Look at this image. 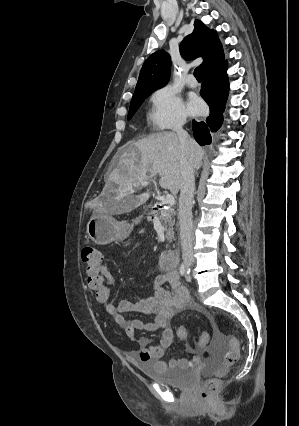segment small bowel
Listing matches in <instances>:
<instances>
[{
	"label": "small bowel",
	"instance_id": "c3829d8e",
	"mask_svg": "<svg viewBox=\"0 0 299 426\" xmlns=\"http://www.w3.org/2000/svg\"><path fill=\"white\" fill-rule=\"evenodd\" d=\"M161 267L163 273L154 280L152 296L136 301L121 300L115 304L113 303L112 292L110 299L105 303L106 310L115 317L116 322L124 328L127 336L137 345L136 350L129 352L130 361L151 362L158 369L168 367L193 368L200 364L204 356L202 347L197 345L186 344L187 352L192 355L190 359L172 358L168 362L162 360L174 337L170 320L185 309H195L201 313H206L191 300L186 288L179 280L176 266L171 268ZM100 271L104 282L110 289L116 285L115 276L104 264L100 267ZM167 286L170 288H167ZM125 313L153 315L154 319L151 322H143L138 319L128 320L124 317ZM139 330L161 331L159 343L152 345V339L149 337H136V332Z\"/></svg>",
	"mask_w": 299,
	"mask_h": 426
}]
</instances>
